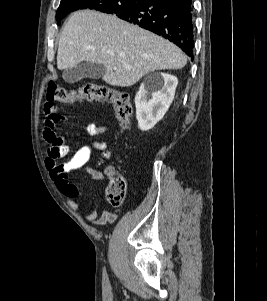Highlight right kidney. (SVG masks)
Listing matches in <instances>:
<instances>
[{"instance_id":"obj_1","label":"right kidney","mask_w":267,"mask_h":301,"mask_svg":"<svg viewBox=\"0 0 267 301\" xmlns=\"http://www.w3.org/2000/svg\"><path fill=\"white\" fill-rule=\"evenodd\" d=\"M177 84V77L168 73H160L155 81L141 84L135 96V105L142 131L152 129L163 118L174 99ZM150 94L151 99H148Z\"/></svg>"}]
</instances>
